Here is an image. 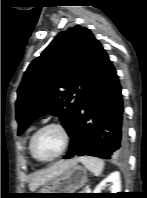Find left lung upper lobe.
Masks as SVG:
<instances>
[{
  "label": "left lung upper lobe",
  "instance_id": "left-lung-upper-lobe-1",
  "mask_svg": "<svg viewBox=\"0 0 147 198\" xmlns=\"http://www.w3.org/2000/svg\"><path fill=\"white\" fill-rule=\"evenodd\" d=\"M95 42L88 28L70 27L29 65L18 88V135L46 114L58 116L70 135L83 101Z\"/></svg>",
  "mask_w": 147,
  "mask_h": 198
}]
</instances>
